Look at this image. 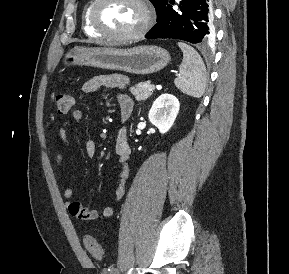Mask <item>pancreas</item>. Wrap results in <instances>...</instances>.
<instances>
[{"mask_svg":"<svg viewBox=\"0 0 289 274\" xmlns=\"http://www.w3.org/2000/svg\"><path fill=\"white\" fill-rule=\"evenodd\" d=\"M151 86L150 81L141 82L136 84L134 87H131L130 92L135 96L137 101H143L151 95Z\"/></svg>","mask_w":289,"mask_h":274,"instance_id":"1","label":"pancreas"}]
</instances>
